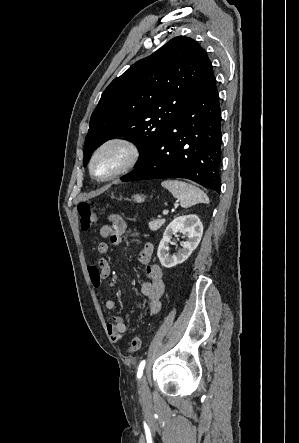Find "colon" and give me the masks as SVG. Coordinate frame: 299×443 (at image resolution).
I'll return each instance as SVG.
<instances>
[{
	"label": "colon",
	"instance_id": "colon-1",
	"mask_svg": "<svg viewBox=\"0 0 299 443\" xmlns=\"http://www.w3.org/2000/svg\"><path fill=\"white\" fill-rule=\"evenodd\" d=\"M78 214L80 216L81 227L85 230L92 228L97 223V214L93 205L82 202L78 205ZM142 346V337L132 338L129 345V352L136 353Z\"/></svg>",
	"mask_w": 299,
	"mask_h": 443
}]
</instances>
